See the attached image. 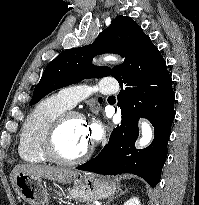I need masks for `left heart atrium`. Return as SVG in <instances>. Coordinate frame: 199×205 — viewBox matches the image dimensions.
Returning a JSON list of instances; mask_svg holds the SVG:
<instances>
[{
  "label": "left heart atrium",
  "mask_w": 199,
  "mask_h": 205,
  "mask_svg": "<svg viewBox=\"0 0 199 205\" xmlns=\"http://www.w3.org/2000/svg\"><path fill=\"white\" fill-rule=\"evenodd\" d=\"M85 132H86L87 137L91 141L100 140L104 134L103 127L98 122H92L90 124H87L85 127Z\"/></svg>",
  "instance_id": "1"
}]
</instances>
